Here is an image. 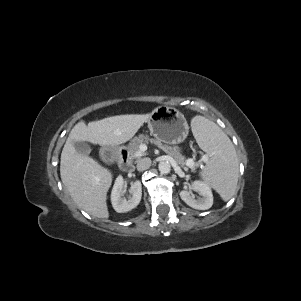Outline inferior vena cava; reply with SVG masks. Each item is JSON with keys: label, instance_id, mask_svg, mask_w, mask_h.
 I'll return each instance as SVG.
<instances>
[{"label": "inferior vena cava", "instance_id": "inferior-vena-cava-1", "mask_svg": "<svg viewBox=\"0 0 301 301\" xmlns=\"http://www.w3.org/2000/svg\"><path fill=\"white\" fill-rule=\"evenodd\" d=\"M151 166V159L150 158H143L138 161L137 163V170L138 171H144L149 169Z\"/></svg>", "mask_w": 301, "mask_h": 301}]
</instances>
